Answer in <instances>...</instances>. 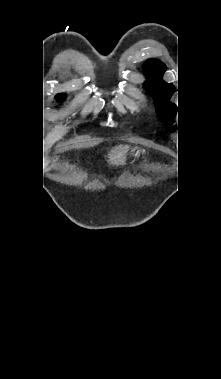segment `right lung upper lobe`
Here are the masks:
<instances>
[{"mask_svg":"<svg viewBox=\"0 0 221 379\" xmlns=\"http://www.w3.org/2000/svg\"><path fill=\"white\" fill-rule=\"evenodd\" d=\"M63 98H64V95H62V94L57 95L58 100H62Z\"/></svg>","mask_w":221,"mask_h":379,"instance_id":"cb5924a9","label":"right lung upper lobe"}]
</instances>
